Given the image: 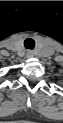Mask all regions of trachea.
Listing matches in <instances>:
<instances>
[{
    "label": "trachea",
    "instance_id": "1",
    "mask_svg": "<svg viewBox=\"0 0 63 123\" xmlns=\"http://www.w3.org/2000/svg\"><path fill=\"white\" fill-rule=\"evenodd\" d=\"M24 46L26 49L33 50L35 47V41L32 38H26L24 40Z\"/></svg>",
    "mask_w": 63,
    "mask_h": 123
}]
</instances>
